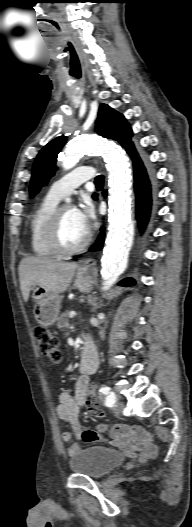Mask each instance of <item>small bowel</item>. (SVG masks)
<instances>
[{
	"mask_svg": "<svg viewBox=\"0 0 192 527\" xmlns=\"http://www.w3.org/2000/svg\"><path fill=\"white\" fill-rule=\"evenodd\" d=\"M89 379L81 376L77 381V396L74 399L68 392L63 391L59 394V404L56 407V414L60 422L70 424L72 432L62 433V440L69 442L67 452L69 456L75 455L80 451L81 446L77 440L82 438L86 442L109 441L121 448L128 454L130 460L139 464H144L146 458L152 457L156 449L150 442L146 428L131 426L129 421H116L114 426L107 431V426L103 423L98 424L96 431H83L79 420L80 407L86 404V397L89 391ZM106 433V437L103 434ZM142 433V434H141ZM141 434V435H140Z\"/></svg>",
	"mask_w": 192,
	"mask_h": 527,
	"instance_id": "c3829d8e",
	"label": "small bowel"
}]
</instances>
